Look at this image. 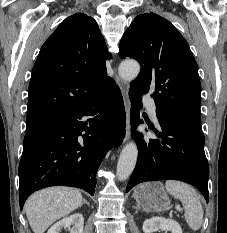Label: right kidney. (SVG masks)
<instances>
[{"instance_id":"ca27d5eb","label":"right kidney","mask_w":227,"mask_h":233,"mask_svg":"<svg viewBox=\"0 0 227 233\" xmlns=\"http://www.w3.org/2000/svg\"><path fill=\"white\" fill-rule=\"evenodd\" d=\"M71 225H73V228L70 230ZM83 225L84 219L82 214L75 213L51 226L47 233H59L62 228H68L70 233H83Z\"/></svg>"}]
</instances>
